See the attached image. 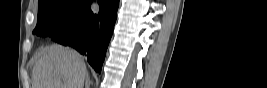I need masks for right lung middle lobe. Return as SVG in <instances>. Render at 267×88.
I'll return each mask as SVG.
<instances>
[{"label": "right lung middle lobe", "mask_w": 267, "mask_h": 88, "mask_svg": "<svg viewBox=\"0 0 267 88\" xmlns=\"http://www.w3.org/2000/svg\"><path fill=\"white\" fill-rule=\"evenodd\" d=\"M92 0H40L38 1L37 36L54 37L76 23Z\"/></svg>", "instance_id": "obj_1"}]
</instances>
